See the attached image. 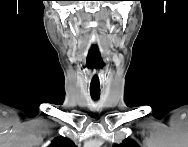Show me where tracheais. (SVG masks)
I'll list each match as a JSON object with an SVG mask.
<instances>
[{
  "mask_svg": "<svg viewBox=\"0 0 188 147\" xmlns=\"http://www.w3.org/2000/svg\"><path fill=\"white\" fill-rule=\"evenodd\" d=\"M90 94H91V97H92L93 100H98L99 97H100V93L91 92Z\"/></svg>",
  "mask_w": 188,
  "mask_h": 147,
  "instance_id": "trachea-1",
  "label": "trachea"
}]
</instances>
